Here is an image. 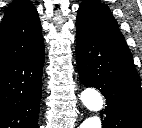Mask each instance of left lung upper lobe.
I'll return each mask as SVG.
<instances>
[{
  "instance_id": "1",
  "label": "left lung upper lobe",
  "mask_w": 142,
  "mask_h": 128,
  "mask_svg": "<svg viewBox=\"0 0 142 128\" xmlns=\"http://www.w3.org/2000/svg\"><path fill=\"white\" fill-rule=\"evenodd\" d=\"M76 25L83 26L107 40L126 44L110 9L98 0L82 1L78 10Z\"/></svg>"
}]
</instances>
